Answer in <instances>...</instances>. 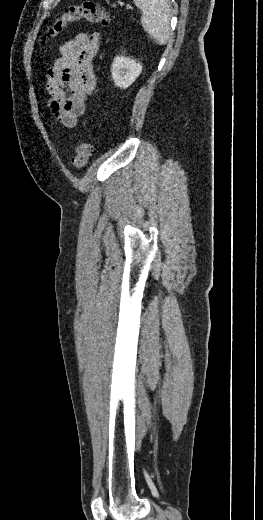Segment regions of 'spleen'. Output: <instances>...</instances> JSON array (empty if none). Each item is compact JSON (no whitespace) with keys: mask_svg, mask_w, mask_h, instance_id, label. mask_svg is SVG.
<instances>
[{"mask_svg":"<svg viewBox=\"0 0 263 520\" xmlns=\"http://www.w3.org/2000/svg\"><path fill=\"white\" fill-rule=\"evenodd\" d=\"M133 2L143 12L141 23L144 30L157 44H166L171 31L169 0H133Z\"/></svg>","mask_w":263,"mask_h":520,"instance_id":"1","label":"spleen"}]
</instances>
